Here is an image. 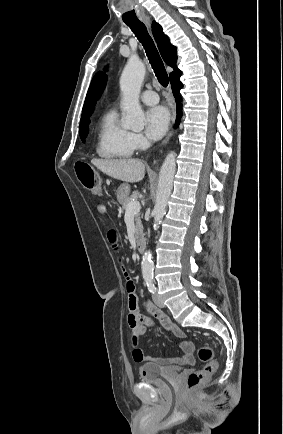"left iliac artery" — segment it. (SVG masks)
<instances>
[{"mask_svg":"<svg viewBox=\"0 0 283 434\" xmlns=\"http://www.w3.org/2000/svg\"><path fill=\"white\" fill-rule=\"evenodd\" d=\"M145 282H146V285H147V287H148V290H149L151 293H154L156 288H155V286H154V284H153L152 278H151V277H147V278H145Z\"/></svg>","mask_w":283,"mask_h":434,"instance_id":"obj_1","label":"left iliac artery"}]
</instances>
